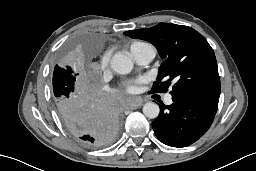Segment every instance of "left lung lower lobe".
Here are the masks:
<instances>
[{
	"label": "left lung lower lobe",
	"instance_id": "0a47b994",
	"mask_svg": "<svg viewBox=\"0 0 256 171\" xmlns=\"http://www.w3.org/2000/svg\"><path fill=\"white\" fill-rule=\"evenodd\" d=\"M173 104L160 107V114L152 122L156 137L166 145L185 147L195 141L211 126L219 98L192 92L172 95Z\"/></svg>",
	"mask_w": 256,
	"mask_h": 171
}]
</instances>
